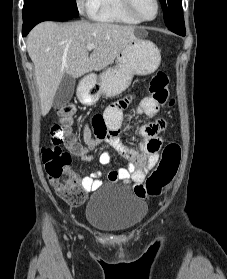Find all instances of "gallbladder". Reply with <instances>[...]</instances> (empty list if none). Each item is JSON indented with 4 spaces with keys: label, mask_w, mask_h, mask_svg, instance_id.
<instances>
[{
    "label": "gallbladder",
    "mask_w": 227,
    "mask_h": 279,
    "mask_svg": "<svg viewBox=\"0 0 227 279\" xmlns=\"http://www.w3.org/2000/svg\"><path fill=\"white\" fill-rule=\"evenodd\" d=\"M75 78L65 74L57 88L53 99L54 108L64 107L72 98L75 89Z\"/></svg>",
    "instance_id": "obj_1"
}]
</instances>
